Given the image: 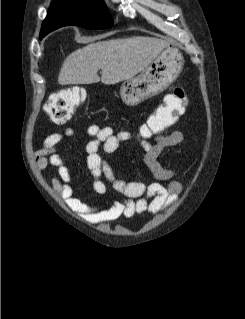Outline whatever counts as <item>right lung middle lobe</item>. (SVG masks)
Wrapping results in <instances>:
<instances>
[{"label": "right lung middle lobe", "mask_w": 245, "mask_h": 319, "mask_svg": "<svg viewBox=\"0 0 245 319\" xmlns=\"http://www.w3.org/2000/svg\"><path fill=\"white\" fill-rule=\"evenodd\" d=\"M49 13L55 25L42 29V33H49L66 25H78L87 29L110 28L113 25L103 0L55 1L51 3Z\"/></svg>", "instance_id": "obj_1"}]
</instances>
